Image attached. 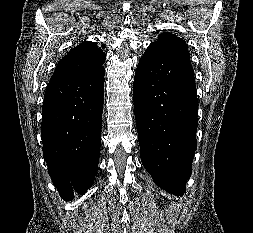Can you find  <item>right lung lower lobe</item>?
<instances>
[{"mask_svg":"<svg viewBox=\"0 0 253 233\" xmlns=\"http://www.w3.org/2000/svg\"><path fill=\"white\" fill-rule=\"evenodd\" d=\"M104 67L54 74L42 107L43 156L66 201L84 192L97 174L101 145Z\"/></svg>","mask_w":253,"mask_h":233,"instance_id":"1","label":"right lung lower lobe"}]
</instances>
